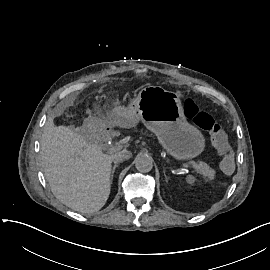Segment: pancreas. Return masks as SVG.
<instances>
[{
	"instance_id": "cf45deb5",
	"label": "pancreas",
	"mask_w": 270,
	"mask_h": 270,
	"mask_svg": "<svg viewBox=\"0 0 270 270\" xmlns=\"http://www.w3.org/2000/svg\"><path fill=\"white\" fill-rule=\"evenodd\" d=\"M192 166L196 169L197 174L204 175L208 177L209 180H212L216 174V170L211 168L205 162L193 163ZM206 182H208V180H206Z\"/></svg>"
}]
</instances>
